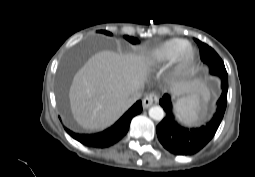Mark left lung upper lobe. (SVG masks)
<instances>
[{"label": "left lung upper lobe", "instance_id": "left-lung-upper-lobe-1", "mask_svg": "<svg viewBox=\"0 0 255 177\" xmlns=\"http://www.w3.org/2000/svg\"><path fill=\"white\" fill-rule=\"evenodd\" d=\"M200 48L201 60L209 65L210 73L220 78H228L224 63L219 55L207 44L195 39Z\"/></svg>", "mask_w": 255, "mask_h": 177}]
</instances>
